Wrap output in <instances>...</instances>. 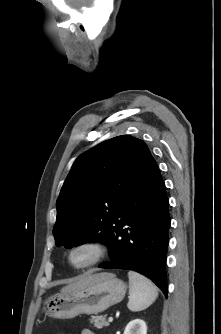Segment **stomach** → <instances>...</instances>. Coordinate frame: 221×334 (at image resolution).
Wrapping results in <instances>:
<instances>
[{
	"label": "stomach",
	"mask_w": 221,
	"mask_h": 334,
	"mask_svg": "<svg viewBox=\"0 0 221 334\" xmlns=\"http://www.w3.org/2000/svg\"><path fill=\"white\" fill-rule=\"evenodd\" d=\"M98 278L85 288L55 294L44 302L49 317L71 319L80 314H98L121 302L127 285L110 273L94 274Z\"/></svg>",
	"instance_id": "0dacf381"
}]
</instances>
